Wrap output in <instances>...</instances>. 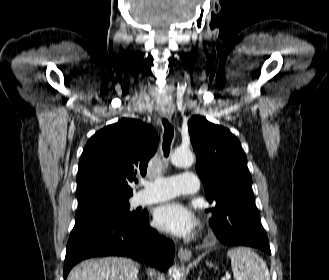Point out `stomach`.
I'll use <instances>...</instances> for the list:
<instances>
[{
  "mask_svg": "<svg viewBox=\"0 0 329 280\" xmlns=\"http://www.w3.org/2000/svg\"><path fill=\"white\" fill-rule=\"evenodd\" d=\"M207 265H209V266H212V264H211V263H210V264H209V263H207Z\"/></svg>",
  "mask_w": 329,
  "mask_h": 280,
  "instance_id": "0dacf381",
  "label": "stomach"
}]
</instances>
